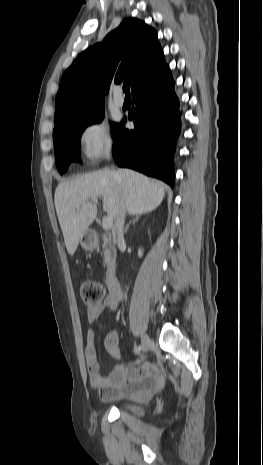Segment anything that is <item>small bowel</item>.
Listing matches in <instances>:
<instances>
[{
    "label": "small bowel",
    "mask_w": 263,
    "mask_h": 465,
    "mask_svg": "<svg viewBox=\"0 0 263 465\" xmlns=\"http://www.w3.org/2000/svg\"><path fill=\"white\" fill-rule=\"evenodd\" d=\"M119 301L120 297H115L110 292L103 302L89 307L87 309L89 324H93L104 309L115 310ZM104 344L114 358L120 357L119 339L115 332L106 337ZM84 355L90 383L98 389L104 401L122 397L145 398L161 388L163 384L162 376L152 362H144L135 366H117L109 373L103 374L95 350V334L91 328L86 333Z\"/></svg>",
    "instance_id": "1"
}]
</instances>
